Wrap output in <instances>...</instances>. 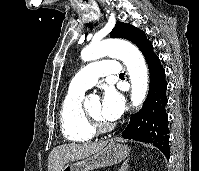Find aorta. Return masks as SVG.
Here are the masks:
<instances>
[{
    "instance_id": "762f6f07",
    "label": "aorta",
    "mask_w": 199,
    "mask_h": 171,
    "mask_svg": "<svg viewBox=\"0 0 199 171\" xmlns=\"http://www.w3.org/2000/svg\"><path fill=\"white\" fill-rule=\"evenodd\" d=\"M107 55L119 58L126 65L131 81V101L138 107L143 103L148 89L147 66L142 54L133 44L118 39L92 43L81 52L84 61Z\"/></svg>"
}]
</instances>
